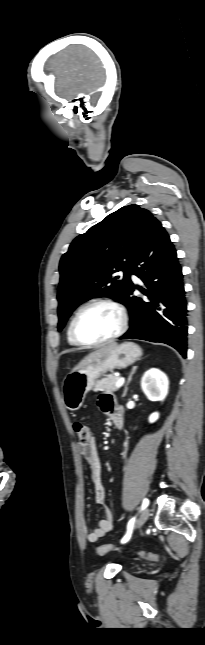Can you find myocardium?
<instances>
[{
  "label": "myocardium",
  "instance_id": "myocardium-1",
  "mask_svg": "<svg viewBox=\"0 0 205 645\" xmlns=\"http://www.w3.org/2000/svg\"><path fill=\"white\" fill-rule=\"evenodd\" d=\"M95 305H105L113 308L119 315V326L116 332H114L112 335H110L109 337L103 340L95 341V342H86L78 336L76 331V323H77L78 317L85 309ZM127 327H128V314L126 309L121 303H119L118 301L112 298H106V297L94 298L87 301L76 310L70 322V334L72 339L77 345L87 347V348H93V347H99V346L105 345L107 343H110L116 340L117 338H119L121 335L124 334Z\"/></svg>",
  "mask_w": 205,
  "mask_h": 645
}]
</instances>
